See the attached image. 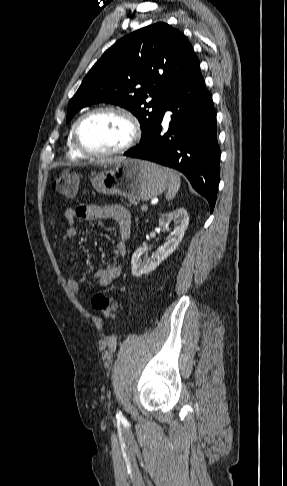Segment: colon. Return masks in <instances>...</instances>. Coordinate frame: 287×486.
Returning a JSON list of instances; mask_svg holds the SVG:
<instances>
[{"label": "colon", "mask_w": 287, "mask_h": 486, "mask_svg": "<svg viewBox=\"0 0 287 486\" xmlns=\"http://www.w3.org/2000/svg\"><path fill=\"white\" fill-rule=\"evenodd\" d=\"M79 187L77 175L72 172H61L52 181V190L64 197L74 196ZM92 306L104 318L113 319L117 311L116 301L105 293H97L92 298Z\"/></svg>", "instance_id": "5ec220e1"}]
</instances>
